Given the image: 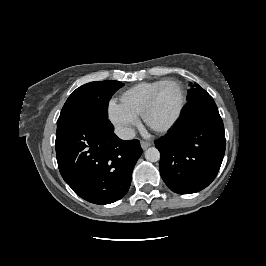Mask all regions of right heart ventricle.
Returning <instances> with one entry per match:
<instances>
[{
	"instance_id": "1",
	"label": "right heart ventricle",
	"mask_w": 266,
	"mask_h": 266,
	"mask_svg": "<svg viewBox=\"0 0 266 266\" xmlns=\"http://www.w3.org/2000/svg\"><path fill=\"white\" fill-rule=\"evenodd\" d=\"M163 81L164 80L161 79L136 84L122 94V103L137 116L142 115L143 109L151 94Z\"/></svg>"
}]
</instances>
